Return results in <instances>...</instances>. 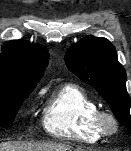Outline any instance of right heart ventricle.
Masks as SVG:
<instances>
[{
	"instance_id": "e07e8e85",
	"label": "right heart ventricle",
	"mask_w": 131,
	"mask_h": 151,
	"mask_svg": "<svg viewBox=\"0 0 131 151\" xmlns=\"http://www.w3.org/2000/svg\"><path fill=\"white\" fill-rule=\"evenodd\" d=\"M97 112V104L84 89L65 84L49 98L43 125L56 138L95 143L104 137L95 124Z\"/></svg>"
}]
</instances>
